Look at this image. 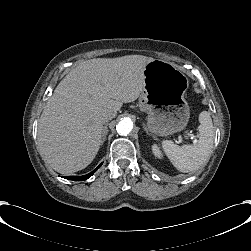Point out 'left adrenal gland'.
<instances>
[{
    "instance_id": "a2214340",
    "label": "left adrenal gland",
    "mask_w": 251,
    "mask_h": 251,
    "mask_svg": "<svg viewBox=\"0 0 251 251\" xmlns=\"http://www.w3.org/2000/svg\"><path fill=\"white\" fill-rule=\"evenodd\" d=\"M142 123H143V125H145L144 122H142ZM150 136H151L152 138H154V139H157V137H156L155 135H153V134H151Z\"/></svg>"
}]
</instances>
